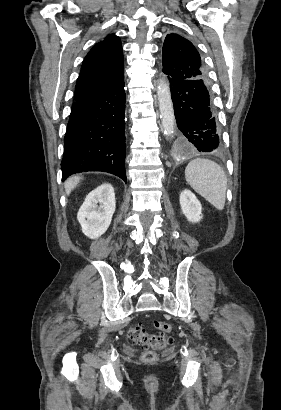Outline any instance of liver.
Returning a JSON list of instances; mask_svg holds the SVG:
<instances>
[{"mask_svg": "<svg viewBox=\"0 0 281 410\" xmlns=\"http://www.w3.org/2000/svg\"><path fill=\"white\" fill-rule=\"evenodd\" d=\"M80 180H81V177L75 176V177H71V178H69L65 181L64 187H65V191H66L67 195H69L71 193V191L74 188H76V186L78 185Z\"/></svg>", "mask_w": 281, "mask_h": 410, "instance_id": "liver-1", "label": "liver"}]
</instances>
